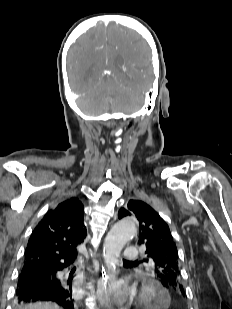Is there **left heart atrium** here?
Wrapping results in <instances>:
<instances>
[{
    "mask_svg": "<svg viewBox=\"0 0 232 309\" xmlns=\"http://www.w3.org/2000/svg\"><path fill=\"white\" fill-rule=\"evenodd\" d=\"M105 297L115 303V304H123L130 297V289L123 286L118 282H111L106 286Z\"/></svg>",
    "mask_w": 232,
    "mask_h": 309,
    "instance_id": "39dd6f15",
    "label": "left heart atrium"
}]
</instances>
